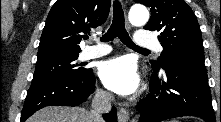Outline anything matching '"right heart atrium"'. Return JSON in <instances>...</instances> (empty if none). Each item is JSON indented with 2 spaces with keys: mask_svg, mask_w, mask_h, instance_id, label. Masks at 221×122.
Returning <instances> with one entry per match:
<instances>
[{
  "mask_svg": "<svg viewBox=\"0 0 221 122\" xmlns=\"http://www.w3.org/2000/svg\"><path fill=\"white\" fill-rule=\"evenodd\" d=\"M98 94L103 99H105L107 97V95L103 91H99Z\"/></svg>",
  "mask_w": 221,
  "mask_h": 122,
  "instance_id": "obj_1",
  "label": "right heart atrium"
}]
</instances>
